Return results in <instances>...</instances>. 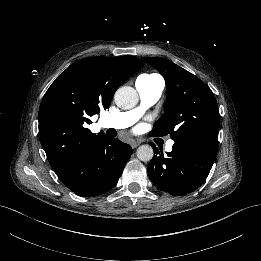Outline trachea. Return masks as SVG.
Listing matches in <instances>:
<instances>
[{
  "instance_id": "obj_1",
  "label": "trachea",
  "mask_w": 261,
  "mask_h": 261,
  "mask_svg": "<svg viewBox=\"0 0 261 261\" xmlns=\"http://www.w3.org/2000/svg\"><path fill=\"white\" fill-rule=\"evenodd\" d=\"M113 131V135H116V131L114 129H111Z\"/></svg>"
}]
</instances>
